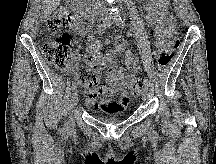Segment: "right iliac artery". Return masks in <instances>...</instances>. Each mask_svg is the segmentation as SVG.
<instances>
[{
	"instance_id": "1",
	"label": "right iliac artery",
	"mask_w": 216,
	"mask_h": 164,
	"mask_svg": "<svg viewBox=\"0 0 216 164\" xmlns=\"http://www.w3.org/2000/svg\"><path fill=\"white\" fill-rule=\"evenodd\" d=\"M114 22V18H108L103 24H101L98 28V33L103 34L108 27ZM77 87V82L73 81L71 89L74 90ZM68 130V123L66 122L64 125V131Z\"/></svg>"
}]
</instances>
